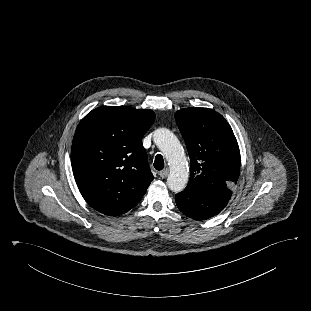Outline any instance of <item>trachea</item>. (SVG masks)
<instances>
[{"label": "trachea", "mask_w": 311, "mask_h": 311, "mask_svg": "<svg viewBox=\"0 0 311 311\" xmlns=\"http://www.w3.org/2000/svg\"><path fill=\"white\" fill-rule=\"evenodd\" d=\"M156 170H162L164 168V160L161 154H157L153 164Z\"/></svg>", "instance_id": "obj_1"}]
</instances>
